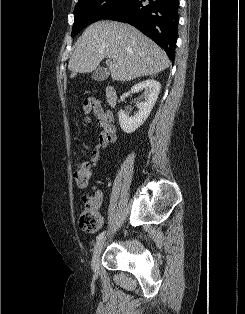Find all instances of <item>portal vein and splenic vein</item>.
<instances>
[{
    "label": "portal vein and splenic vein",
    "mask_w": 245,
    "mask_h": 314,
    "mask_svg": "<svg viewBox=\"0 0 245 314\" xmlns=\"http://www.w3.org/2000/svg\"><path fill=\"white\" fill-rule=\"evenodd\" d=\"M112 58H113V59H117V56H116V55H113Z\"/></svg>",
    "instance_id": "18ae733b"
}]
</instances>
